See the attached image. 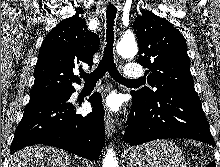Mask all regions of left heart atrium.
Returning <instances> with one entry per match:
<instances>
[{"mask_svg": "<svg viewBox=\"0 0 220 167\" xmlns=\"http://www.w3.org/2000/svg\"><path fill=\"white\" fill-rule=\"evenodd\" d=\"M105 105L107 106V108L111 109L112 111H117L120 104L117 97L110 96L109 98H107Z\"/></svg>", "mask_w": 220, "mask_h": 167, "instance_id": "39dd6f15", "label": "left heart atrium"}]
</instances>
